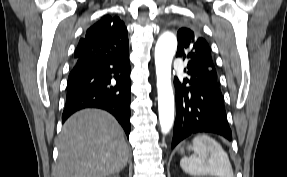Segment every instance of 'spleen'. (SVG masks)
<instances>
[{"mask_svg":"<svg viewBox=\"0 0 287 177\" xmlns=\"http://www.w3.org/2000/svg\"><path fill=\"white\" fill-rule=\"evenodd\" d=\"M189 149L194 156L183 157L181 168L192 176L234 177L227 153L222 146L207 135L196 136Z\"/></svg>","mask_w":287,"mask_h":177,"instance_id":"obj_1","label":"spleen"}]
</instances>
